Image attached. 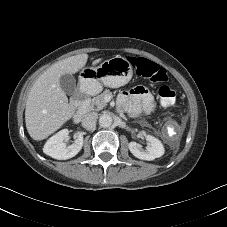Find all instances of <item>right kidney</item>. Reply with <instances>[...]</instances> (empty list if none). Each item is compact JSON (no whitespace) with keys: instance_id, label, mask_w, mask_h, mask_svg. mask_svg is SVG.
Segmentation results:
<instances>
[{"instance_id":"right-kidney-1","label":"right kidney","mask_w":227,"mask_h":227,"mask_svg":"<svg viewBox=\"0 0 227 227\" xmlns=\"http://www.w3.org/2000/svg\"><path fill=\"white\" fill-rule=\"evenodd\" d=\"M69 130L63 129L50 137L44 145L43 152L58 160H66L74 157L82 149L83 136L81 133L75 134L73 144L66 146L64 140L68 138Z\"/></svg>"}]
</instances>
